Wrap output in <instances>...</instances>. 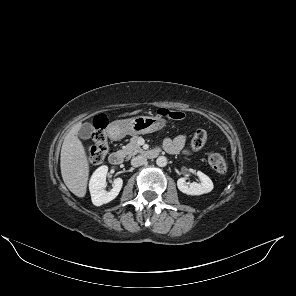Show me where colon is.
I'll list each match as a JSON object with an SVG mask.
<instances>
[{
    "mask_svg": "<svg viewBox=\"0 0 296 296\" xmlns=\"http://www.w3.org/2000/svg\"><path fill=\"white\" fill-rule=\"evenodd\" d=\"M158 114L174 120H182L185 114L177 110L159 109ZM108 120L104 115H99L93 122L92 139L93 144L87 149V158L91 164H99L108 153L109 146L106 136V126ZM207 141V132L198 128L195 130L191 140V148L193 150H200ZM207 160L211 167L219 174H223L227 170V165L224 158L218 154L211 152L207 156Z\"/></svg>",
    "mask_w": 296,
    "mask_h": 296,
    "instance_id": "obj_1",
    "label": "colon"
}]
</instances>
